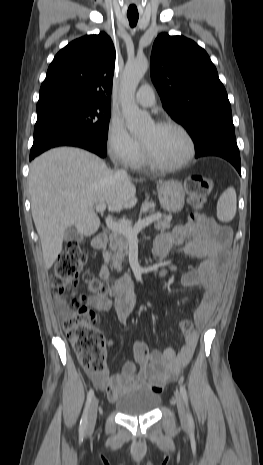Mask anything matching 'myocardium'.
I'll return each instance as SVG.
<instances>
[{
  "label": "myocardium",
  "instance_id": "obj_1",
  "mask_svg": "<svg viewBox=\"0 0 263 465\" xmlns=\"http://www.w3.org/2000/svg\"><path fill=\"white\" fill-rule=\"evenodd\" d=\"M154 125L157 127H161V128L171 127V128H175L178 131H180L188 142V152L186 156L184 157V159H182L181 161L173 163V164H164V163L159 162L157 159H155L153 155L151 154V152L149 151V149L147 148V146L141 141L145 162L150 167L157 169V170H161V171H175V170H179L181 168L186 167L193 160V158L195 157V153H196L195 140L193 136L191 135V133L189 132V130L182 124L176 121H173V120H161V121L156 122Z\"/></svg>",
  "mask_w": 263,
  "mask_h": 465
}]
</instances>
